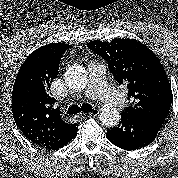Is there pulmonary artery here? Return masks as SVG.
<instances>
[{
  "label": "pulmonary artery",
  "instance_id": "e3ab8cb5",
  "mask_svg": "<svg viewBox=\"0 0 178 178\" xmlns=\"http://www.w3.org/2000/svg\"><path fill=\"white\" fill-rule=\"evenodd\" d=\"M89 83L84 92L85 97L100 99L105 103L120 106L124 104V96L112 87L105 75V66L100 62L88 65Z\"/></svg>",
  "mask_w": 178,
  "mask_h": 178
}]
</instances>
